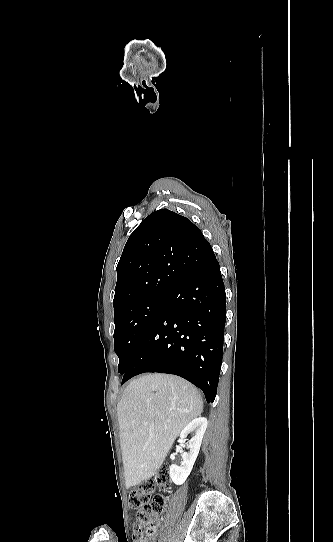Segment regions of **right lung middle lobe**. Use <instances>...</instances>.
<instances>
[{"instance_id": "1", "label": "right lung middle lobe", "mask_w": 333, "mask_h": 542, "mask_svg": "<svg viewBox=\"0 0 333 542\" xmlns=\"http://www.w3.org/2000/svg\"><path fill=\"white\" fill-rule=\"evenodd\" d=\"M168 292L121 309L114 315L115 353L119 357L118 372L124 374L134 353L159 311L167 303Z\"/></svg>"}]
</instances>
